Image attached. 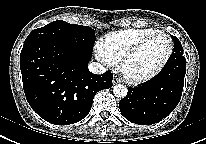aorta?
Instances as JSON below:
<instances>
[{"label":"aorta","instance_id":"aorta-1","mask_svg":"<svg viewBox=\"0 0 206 144\" xmlns=\"http://www.w3.org/2000/svg\"><path fill=\"white\" fill-rule=\"evenodd\" d=\"M113 93L117 98H124L128 93V89L122 84H117L113 88Z\"/></svg>","mask_w":206,"mask_h":144}]
</instances>
